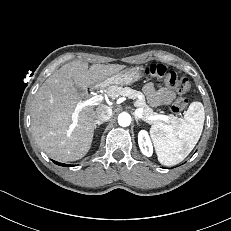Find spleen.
<instances>
[{"label":"spleen","instance_id":"1","mask_svg":"<svg viewBox=\"0 0 231 231\" xmlns=\"http://www.w3.org/2000/svg\"><path fill=\"white\" fill-rule=\"evenodd\" d=\"M205 112L201 102H192L184 117L172 125L158 123L150 128L158 160L172 166L183 161L197 144L204 125Z\"/></svg>","mask_w":231,"mask_h":231}]
</instances>
